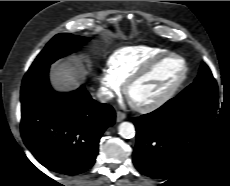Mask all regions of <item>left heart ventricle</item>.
<instances>
[{
	"mask_svg": "<svg viewBox=\"0 0 230 186\" xmlns=\"http://www.w3.org/2000/svg\"><path fill=\"white\" fill-rule=\"evenodd\" d=\"M182 71L183 64L179 59H165L150 74L133 85L130 100L142 104L158 98L176 81Z\"/></svg>",
	"mask_w": 230,
	"mask_h": 186,
	"instance_id": "left-heart-ventricle-1",
	"label": "left heart ventricle"
}]
</instances>
